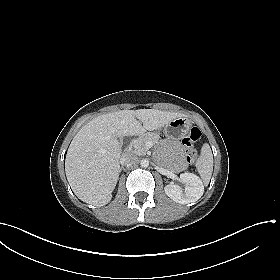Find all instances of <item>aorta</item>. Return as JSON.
<instances>
[{
    "instance_id": "762f6f07",
    "label": "aorta",
    "mask_w": 280,
    "mask_h": 280,
    "mask_svg": "<svg viewBox=\"0 0 280 280\" xmlns=\"http://www.w3.org/2000/svg\"><path fill=\"white\" fill-rule=\"evenodd\" d=\"M141 167L147 168L149 166V161L148 159H142L140 162Z\"/></svg>"
}]
</instances>
